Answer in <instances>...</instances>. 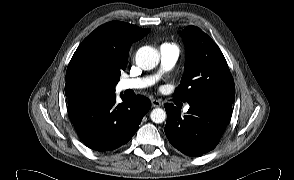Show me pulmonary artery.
<instances>
[{"label": "pulmonary artery", "instance_id": "1", "mask_svg": "<svg viewBox=\"0 0 294 180\" xmlns=\"http://www.w3.org/2000/svg\"><path fill=\"white\" fill-rule=\"evenodd\" d=\"M161 72L167 71L173 67L177 61L179 50L175 45L163 44L159 49ZM158 79V75L153 77H144L136 79H126L120 82L119 88L122 91L125 90H137L152 85ZM189 106L183 108L184 112H187Z\"/></svg>", "mask_w": 294, "mask_h": 180}]
</instances>
